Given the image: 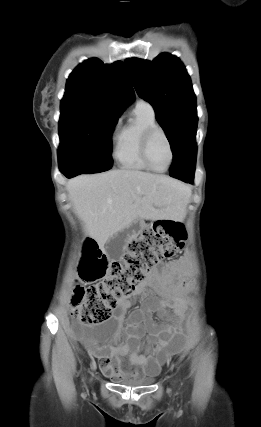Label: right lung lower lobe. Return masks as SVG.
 <instances>
[{"label":"right lung lower lobe","instance_id":"1","mask_svg":"<svg viewBox=\"0 0 261 427\" xmlns=\"http://www.w3.org/2000/svg\"><path fill=\"white\" fill-rule=\"evenodd\" d=\"M67 178H72L76 175L82 174V172H77V171H68V172H64L63 173Z\"/></svg>","mask_w":261,"mask_h":427}]
</instances>
